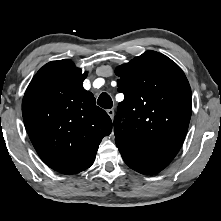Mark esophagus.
I'll return each instance as SVG.
<instances>
[{"label":"esophagus","instance_id":"esophagus-1","mask_svg":"<svg viewBox=\"0 0 221 221\" xmlns=\"http://www.w3.org/2000/svg\"><path fill=\"white\" fill-rule=\"evenodd\" d=\"M107 114L109 115V117H110L111 119H113V117H114V110H113V109L107 110Z\"/></svg>","mask_w":221,"mask_h":221}]
</instances>
